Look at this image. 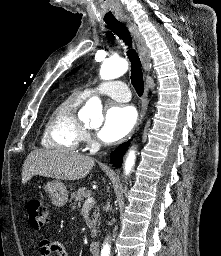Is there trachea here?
<instances>
[{
  "label": "trachea",
  "instance_id": "trachea-1",
  "mask_svg": "<svg viewBox=\"0 0 221 256\" xmlns=\"http://www.w3.org/2000/svg\"><path fill=\"white\" fill-rule=\"evenodd\" d=\"M107 26L128 46L127 56L131 62V83L135 88L138 96L144 92V80L141 68V62L138 54L132 48L131 36L126 26L119 21L107 22Z\"/></svg>",
  "mask_w": 221,
  "mask_h": 256
}]
</instances>
